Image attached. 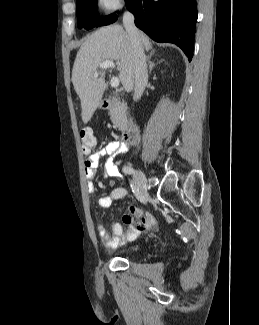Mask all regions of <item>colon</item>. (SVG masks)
<instances>
[{"mask_svg": "<svg viewBox=\"0 0 259 325\" xmlns=\"http://www.w3.org/2000/svg\"><path fill=\"white\" fill-rule=\"evenodd\" d=\"M80 141L83 153H90L95 145V137L90 127H85L80 130Z\"/></svg>", "mask_w": 259, "mask_h": 325, "instance_id": "1", "label": "colon"}]
</instances>
